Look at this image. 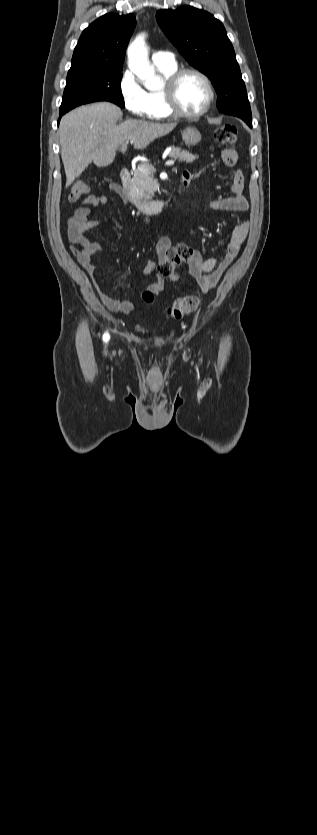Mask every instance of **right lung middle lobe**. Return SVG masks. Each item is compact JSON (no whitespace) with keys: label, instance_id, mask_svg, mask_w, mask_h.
<instances>
[{"label":"right lung middle lobe","instance_id":"1","mask_svg":"<svg viewBox=\"0 0 317 835\" xmlns=\"http://www.w3.org/2000/svg\"><path fill=\"white\" fill-rule=\"evenodd\" d=\"M121 79L122 69L91 66L70 68L60 112L96 101H110L124 108Z\"/></svg>","mask_w":317,"mask_h":835}]
</instances>
